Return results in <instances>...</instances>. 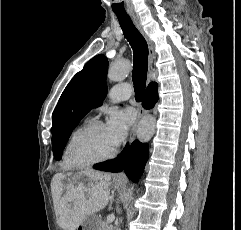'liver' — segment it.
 <instances>
[{"mask_svg":"<svg viewBox=\"0 0 241 230\" xmlns=\"http://www.w3.org/2000/svg\"><path fill=\"white\" fill-rule=\"evenodd\" d=\"M81 175H88L92 180L88 184L77 182ZM110 180V174L94 170L81 171L77 177L55 174L51 191L59 226L63 230H76L88 216L102 210L109 201Z\"/></svg>","mask_w":241,"mask_h":230,"instance_id":"obj_1","label":"liver"}]
</instances>
